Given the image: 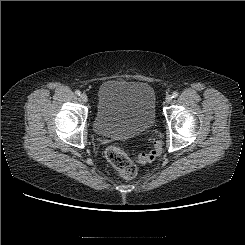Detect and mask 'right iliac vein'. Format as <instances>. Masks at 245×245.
Here are the masks:
<instances>
[{
  "mask_svg": "<svg viewBox=\"0 0 245 245\" xmlns=\"http://www.w3.org/2000/svg\"><path fill=\"white\" fill-rule=\"evenodd\" d=\"M80 98H81V100H82L83 102H87V101H88V97H87V95L84 94V93L80 95Z\"/></svg>",
  "mask_w": 245,
  "mask_h": 245,
  "instance_id": "1",
  "label": "right iliac vein"
}]
</instances>
